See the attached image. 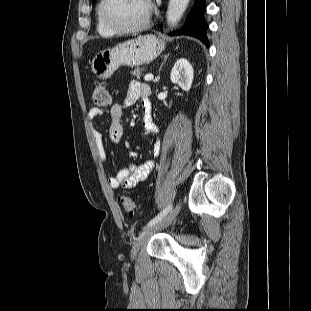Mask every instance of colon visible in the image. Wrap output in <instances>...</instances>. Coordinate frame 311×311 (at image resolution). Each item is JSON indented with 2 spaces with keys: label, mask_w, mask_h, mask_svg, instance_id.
<instances>
[{
  "label": "colon",
  "mask_w": 311,
  "mask_h": 311,
  "mask_svg": "<svg viewBox=\"0 0 311 311\" xmlns=\"http://www.w3.org/2000/svg\"><path fill=\"white\" fill-rule=\"evenodd\" d=\"M91 103L94 108L99 109L107 108L110 105V95L106 85L99 83L94 87ZM119 200L124 210L130 216H134L136 213V207L133 200L127 196H121Z\"/></svg>",
  "instance_id": "5ec220e1"
}]
</instances>
